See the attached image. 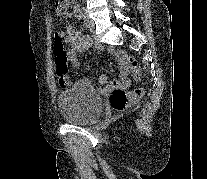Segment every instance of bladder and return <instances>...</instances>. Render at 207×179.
<instances>
[{
    "label": "bladder",
    "instance_id": "bladder-1",
    "mask_svg": "<svg viewBox=\"0 0 207 179\" xmlns=\"http://www.w3.org/2000/svg\"><path fill=\"white\" fill-rule=\"evenodd\" d=\"M57 105L63 118L72 124H88L103 111L102 99L89 80H79L59 93Z\"/></svg>",
    "mask_w": 207,
    "mask_h": 179
}]
</instances>
